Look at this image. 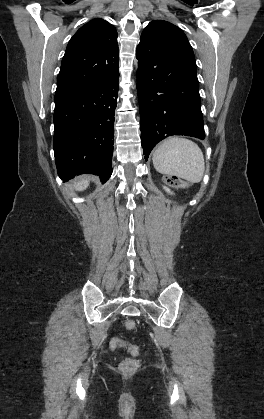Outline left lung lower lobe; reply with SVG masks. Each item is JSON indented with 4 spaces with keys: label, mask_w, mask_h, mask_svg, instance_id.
Returning <instances> with one entry per match:
<instances>
[{
    "label": "left lung lower lobe",
    "mask_w": 264,
    "mask_h": 419,
    "mask_svg": "<svg viewBox=\"0 0 264 419\" xmlns=\"http://www.w3.org/2000/svg\"><path fill=\"white\" fill-rule=\"evenodd\" d=\"M165 43L137 50V91L145 160L155 145L171 135L205 138L199 83L163 65Z\"/></svg>",
    "instance_id": "0a47b994"
}]
</instances>
